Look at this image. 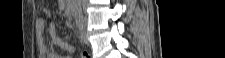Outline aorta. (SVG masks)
Wrapping results in <instances>:
<instances>
[{"mask_svg":"<svg viewBox=\"0 0 225 58\" xmlns=\"http://www.w3.org/2000/svg\"><path fill=\"white\" fill-rule=\"evenodd\" d=\"M77 12H78L79 15H81V7H80V5L77 7Z\"/></svg>","mask_w":225,"mask_h":58,"instance_id":"762f6f07","label":"aorta"}]
</instances>
